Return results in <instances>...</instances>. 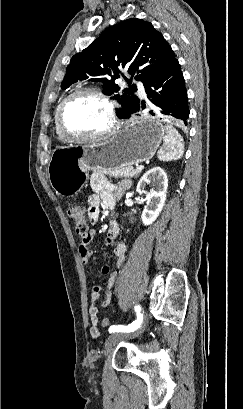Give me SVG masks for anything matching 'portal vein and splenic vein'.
I'll return each mask as SVG.
<instances>
[{
  "mask_svg": "<svg viewBox=\"0 0 243 409\" xmlns=\"http://www.w3.org/2000/svg\"><path fill=\"white\" fill-rule=\"evenodd\" d=\"M136 169H137V170H142V169H144V166H143V165H138V166L136 167Z\"/></svg>",
  "mask_w": 243,
  "mask_h": 409,
  "instance_id": "1",
  "label": "portal vein and splenic vein"
}]
</instances>
